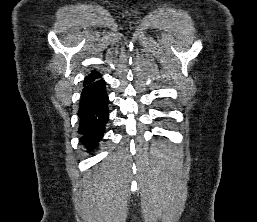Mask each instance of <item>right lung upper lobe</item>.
Wrapping results in <instances>:
<instances>
[{"instance_id":"right-lung-upper-lobe-1","label":"right lung upper lobe","mask_w":257,"mask_h":222,"mask_svg":"<svg viewBox=\"0 0 257 222\" xmlns=\"http://www.w3.org/2000/svg\"><path fill=\"white\" fill-rule=\"evenodd\" d=\"M98 75H99V72H97V71L91 72V74L88 75V76L85 78L84 82L91 81V80H93L94 78H96Z\"/></svg>"}]
</instances>
